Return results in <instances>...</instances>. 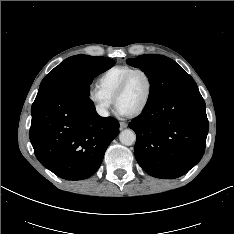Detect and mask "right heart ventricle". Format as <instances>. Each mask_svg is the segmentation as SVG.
<instances>
[{"instance_id":"right-heart-ventricle-1","label":"right heart ventricle","mask_w":234,"mask_h":234,"mask_svg":"<svg viewBox=\"0 0 234 234\" xmlns=\"http://www.w3.org/2000/svg\"><path fill=\"white\" fill-rule=\"evenodd\" d=\"M134 68L128 65H115L104 70L98 77L97 83L101 90L113 99V95L123 78Z\"/></svg>"}]
</instances>
